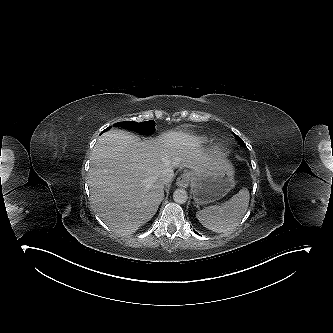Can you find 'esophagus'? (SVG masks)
Here are the masks:
<instances>
[{"instance_id":"1","label":"esophagus","mask_w":333,"mask_h":333,"mask_svg":"<svg viewBox=\"0 0 333 333\" xmlns=\"http://www.w3.org/2000/svg\"><path fill=\"white\" fill-rule=\"evenodd\" d=\"M191 181V174L189 172L183 173L177 178L176 184L179 187L187 188Z\"/></svg>"}]
</instances>
